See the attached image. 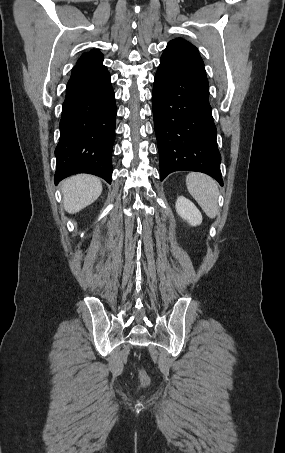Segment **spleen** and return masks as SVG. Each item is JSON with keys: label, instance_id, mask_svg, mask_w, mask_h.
Returning <instances> with one entry per match:
<instances>
[{"label": "spleen", "instance_id": "1", "mask_svg": "<svg viewBox=\"0 0 285 453\" xmlns=\"http://www.w3.org/2000/svg\"><path fill=\"white\" fill-rule=\"evenodd\" d=\"M189 193L201 206L205 214L213 219L218 213V184L210 176L191 172L186 176Z\"/></svg>", "mask_w": 285, "mask_h": 453}]
</instances>
